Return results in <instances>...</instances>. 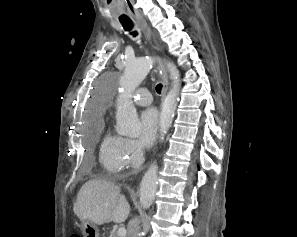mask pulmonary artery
<instances>
[{"instance_id": "1", "label": "pulmonary artery", "mask_w": 297, "mask_h": 237, "mask_svg": "<svg viewBox=\"0 0 297 237\" xmlns=\"http://www.w3.org/2000/svg\"><path fill=\"white\" fill-rule=\"evenodd\" d=\"M134 102L140 106H147L152 103L151 93L147 89H140L137 91Z\"/></svg>"}]
</instances>
